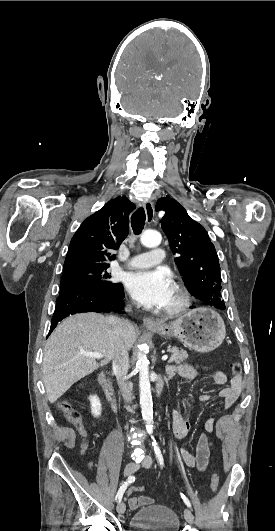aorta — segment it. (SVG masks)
<instances>
[{
  "mask_svg": "<svg viewBox=\"0 0 275 531\" xmlns=\"http://www.w3.org/2000/svg\"><path fill=\"white\" fill-rule=\"evenodd\" d=\"M141 245L143 247H158L161 243V235L157 231H144L140 237ZM148 359L144 351L137 353L136 367L139 369V387H140V405L141 413L144 421H146V429L148 433H152L153 423V401L151 395V385L149 381V367Z\"/></svg>",
  "mask_w": 275,
  "mask_h": 531,
  "instance_id": "aorta-1",
  "label": "aorta"
}]
</instances>
